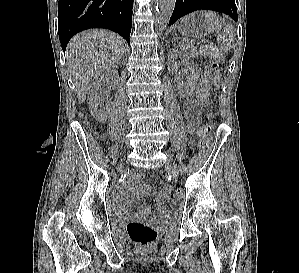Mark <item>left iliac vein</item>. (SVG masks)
<instances>
[{"mask_svg":"<svg viewBox=\"0 0 299 273\" xmlns=\"http://www.w3.org/2000/svg\"><path fill=\"white\" fill-rule=\"evenodd\" d=\"M166 169L170 172L173 177L178 176V169L175 161L171 156L168 155L166 162H165Z\"/></svg>","mask_w":299,"mask_h":273,"instance_id":"1","label":"left iliac vein"}]
</instances>
